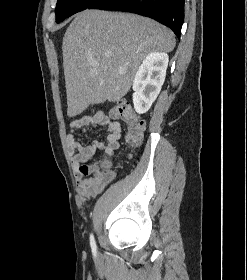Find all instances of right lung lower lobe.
Listing matches in <instances>:
<instances>
[{
  "label": "right lung lower lobe",
  "instance_id": "right-lung-lower-lobe-1",
  "mask_svg": "<svg viewBox=\"0 0 247 280\" xmlns=\"http://www.w3.org/2000/svg\"><path fill=\"white\" fill-rule=\"evenodd\" d=\"M89 8L132 12L165 24L180 38L184 0H98Z\"/></svg>",
  "mask_w": 247,
  "mask_h": 280
}]
</instances>
